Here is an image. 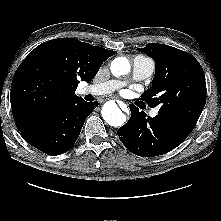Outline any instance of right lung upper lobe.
I'll use <instances>...</instances> for the list:
<instances>
[{"label":"right lung upper lobe","instance_id":"right-lung-upper-lobe-1","mask_svg":"<svg viewBox=\"0 0 221 221\" xmlns=\"http://www.w3.org/2000/svg\"><path fill=\"white\" fill-rule=\"evenodd\" d=\"M116 51L74 38L37 46L18 67L11 85V107L18 130L28 123L82 100L75 95L80 81L88 83Z\"/></svg>","mask_w":221,"mask_h":221}]
</instances>
